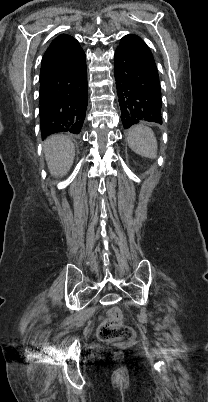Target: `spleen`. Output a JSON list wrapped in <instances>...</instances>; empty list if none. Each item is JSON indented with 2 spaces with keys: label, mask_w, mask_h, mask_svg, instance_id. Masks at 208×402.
<instances>
[{
  "label": "spleen",
  "mask_w": 208,
  "mask_h": 402,
  "mask_svg": "<svg viewBox=\"0 0 208 402\" xmlns=\"http://www.w3.org/2000/svg\"><path fill=\"white\" fill-rule=\"evenodd\" d=\"M127 142L129 148L139 154V156H144V158H157V140L155 134L151 128L147 126H134L129 130L127 136Z\"/></svg>",
  "instance_id": "obj_1"
}]
</instances>
